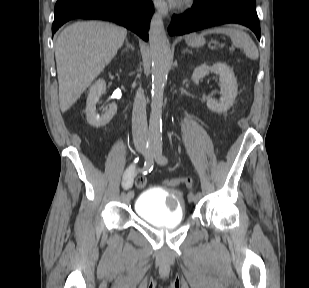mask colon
<instances>
[{
    "label": "colon",
    "instance_id": "obj_1",
    "mask_svg": "<svg viewBox=\"0 0 309 288\" xmlns=\"http://www.w3.org/2000/svg\"><path fill=\"white\" fill-rule=\"evenodd\" d=\"M166 184L170 187H177L179 185H185L188 189H192L194 186L193 180L189 177H176L171 178L166 181ZM146 185V178L144 177H138L136 179V186L139 188H142Z\"/></svg>",
    "mask_w": 309,
    "mask_h": 288
}]
</instances>
